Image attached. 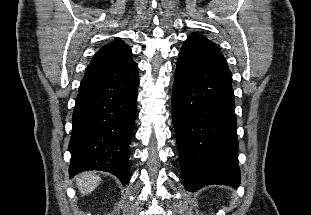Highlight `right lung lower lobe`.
I'll use <instances>...</instances> for the list:
<instances>
[{
    "mask_svg": "<svg viewBox=\"0 0 311 215\" xmlns=\"http://www.w3.org/2000/svg\"><path fill=\"white\" fill-rule=\"evenodd\" d=\"M138 65L89 64L72 118L70 176L86 170L108 171L126 185L133 135Z\"/></svg>",
    "mask_w": 311,
    "mask_h": 215,
    "instance_id": "obj_1",
    "label": "right lung lower lobe"
}]
</instances>
